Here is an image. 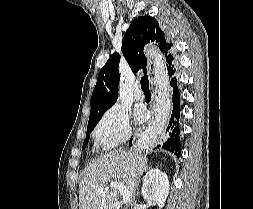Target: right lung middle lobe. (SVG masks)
<instances>
[{
  "instance_id": "dd1d6c3e",
  "label": "right lung middle lobe",
  "mask_w": 253,
  "mask_h": 209,
  "mask_svg": "<svg viewBox=\"0 0 253 209\" xmlns=\"http://www.w3.org/2000/svg\"><path fill=\"white\" fill-rule=\"evenodd\" d=\"M101 117H102V115L89 119L88 126H87L86 139L84 140V143H83V149L86 147V145L89 141L91 131L97 125V123L99 122Z\"/></svg>"
}]
</instances>
